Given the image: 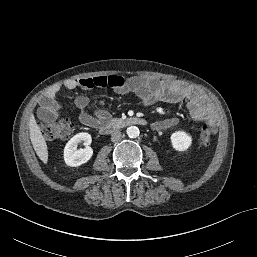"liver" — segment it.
<instances>
[{
    "mask_svg": "<svg viewBox=\"0 0 257 257\" xmlns=\"http://www.w3.org/2000/svg\"><path fill=\"white\" fill-rule=\"evenodd\" d=\"M29 132H30L31 143L33 145V148L36 154L38 155L40 160L46 164L48 161L47 144L33 114L30 116V120H29Z\"/></svg>",
    "mask_w": 257,
    "mask_h": 257,
    "instance_id": "obj_1",
    "label": "liver"
}]
</instances>
